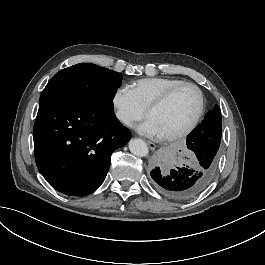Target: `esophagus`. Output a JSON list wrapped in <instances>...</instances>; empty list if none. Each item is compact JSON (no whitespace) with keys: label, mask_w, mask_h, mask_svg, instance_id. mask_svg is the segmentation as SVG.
<instances>
[{"label":"esophagus","mask_w":265,"mask_h":265,"mask_svg":"<svg viewBox=\"0 0 265 265\" xmlns=\"http://www.w3.org/2000/svg\"><path fill=\"white\" fill-rule=\"evenodd\" d=\"M147 145L149 146L150 150H154L156 148V145L151 141H146Z\"/></svg>","instance_id":"esophagus-1"}]
</instances>
